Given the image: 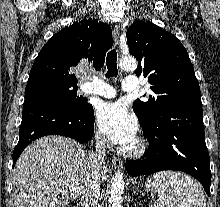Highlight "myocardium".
I'll return each instance as SVG.
<instances>
[{
	"label": "myocardium",
	"instance_id": "obj_1",
	"mask_svg": "<svg viewBox=\"0 0 220 207\" xmlns=\"http://www.w3.org/2000/svg\"><path fill=\"white\" fill-rule=\"evenodd\" d=\"M148 148V143L142 137L135 139L134 144L131 147H125L121 149L122 155L130 158H137L142 156Z\"/></svg>",
	"mask_w": 220,
	"mask_h": 207
}]
</instances>
